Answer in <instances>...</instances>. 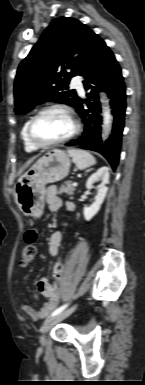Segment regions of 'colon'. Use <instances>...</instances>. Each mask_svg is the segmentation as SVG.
I'll use <instances>...</instances> for the list:
<instances>
[{
	"mask_svg": "<svg viewBox=\"0 0 145 385\" xmlns=\"http://www.w3.org/2000/svg\"><path fill=\"white\" fill-rule=\"evenodd\" d=\"M24 247L20 254V265L25 267L30 262L33 261L35 255H36V243L38 240V231L36 228H29L24 233ZM55 272L57 274L61 273L62 271V265L56 264L55 266Z\"/></svg>",
	"mask_w": 145,
	"mask_h": 385,
	"instance_id": "5ec220e1",
	"label": "colon"
}]
</instances>
